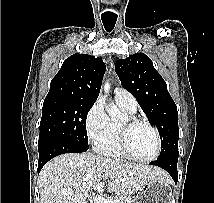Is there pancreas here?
Wrapping results in <instances>:
<instances>
[{"mask_svg": "<svg viewBox=\"0 0 214 203\" xmlns=\"http://www.w3.org/2000/svg\"><path fill=\"white\" fill-rule=\"evenodd\" d=\"M116 203H134L133 200H131L130 198H127L125 196H120L116 198Z\"/></svg>", "mask_w": 214, "mask_h": 203, "instance_id": "obj_1", "label": "pancreas"}]
</instances>
